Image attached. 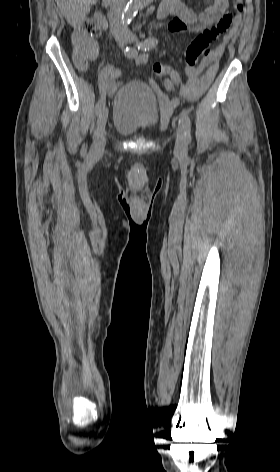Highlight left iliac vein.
Wrapping results in <instances>:
<instances>
[{
  "mask_svg": "<svg viewBox=\"0 0 280 472\" xmlns=\"http://www.w3.org/2000/svg\"><path fill=\"white\" fill-rule=\"evenodd\" d=\"M126 40L130 42H135L137 41V37L135 34H130L127 36ZM176 142H175V149L179 153H184L187 150L188 147V140L185 136V131L184 128L179 125L177 127V132H176Z\"/></svg>",
  "mask_w": 280,
  "mask_h": 472,
  "instance_id": "4c4485c4",
  "label": "left iliac vein"
}]
</instances>
